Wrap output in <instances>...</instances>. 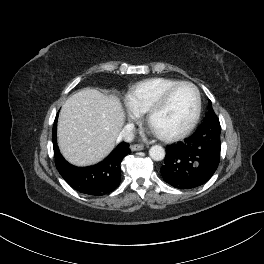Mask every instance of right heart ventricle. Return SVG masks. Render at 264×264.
Returning <instances> with one entry per match:
<instances>
[{"mask_svg":"<svg viewBox=\"0 0 264 264\" xmlns=\"http://www.w3.org/2000/svg\"><path fill=\"white\" fill-rule=\"evenodd\" d=\"M178 82L169 77H154L134 84L126 95L128 106L136 113H146L170 85Z\"/></svg>","mask_w":264,"mask_h":264,"instance_id":"1","label":"right heart ventricle"}]
</instances>
